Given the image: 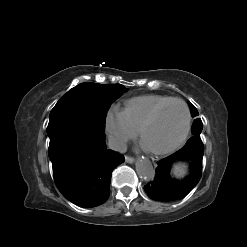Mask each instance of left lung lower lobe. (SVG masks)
Listing matches in <instances>:
<instances>
[{
	"instance_id": "1",
	"label": "left lung lower lobe",
	"mask_w": 247,
	"mask_h": 247,
	"mask_svg": "<svg viewBox=\"0 0 247 247\" xmlns=\"http://www.w3.org/2000/svg\"><path fill=\"white\" fill-rule=\"evenodd\" d=\"M204 146L200 137L193 136L177 152L159 161L156 176L144 186L147 195L157 201H174L185 197L199 182L202 172ZM187 161L190 164V175L183 181H176L169 175L172 164Z\"/></svg>"
}]
</instances>
